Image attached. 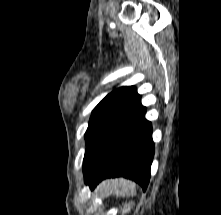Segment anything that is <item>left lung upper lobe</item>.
I'll return each mask as SVG.
<instances>
[{
    "mask_svg": "<svg viewBox=\"0 0 221 215\" xmlns=\"http://www.w3.org/2000/svg\"><path fill=\"white\" fill-rule=\"evenodd\" d=\"M139 98L134 86H123L114 89L95 107L85 133L84 176L90 171L113 122Z\"/></svg>",
    "mask_w": 221,
    "mask_h": 215,
    "instance_id": "left-lung-upper-lobe-1",
    "label": "left lung upper lobe"
}]
</instances>
